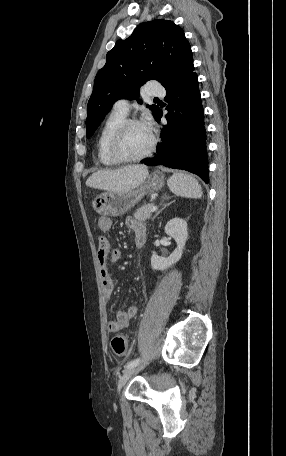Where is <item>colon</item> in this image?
<instances>
[{
	"label": "colon",
	"mask_w": 286,
	"mask_h": 456,
	"mask_svg": "<svg viewBox=\"0 0 286 456\" xmlns=\"http://www.w3.org/2000/svg\"><path fill=\"white\" fill-rule=\"evenodd\" d=\"M111 347L117 356H123L128 349L127 339L125 336L119 335L112 339Z\"/></svg>",
	"instance_id": "5ec220e1"
}]
</instances>
